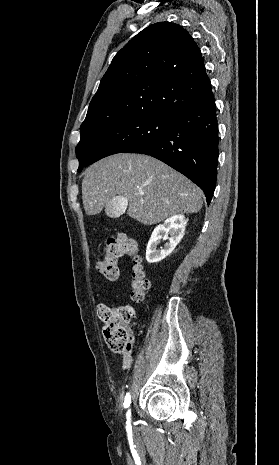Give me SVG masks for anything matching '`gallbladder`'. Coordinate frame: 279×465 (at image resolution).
<instances>
[{
  "instance_id": "bac80fb5",
  "label": "gallbladder",
  "mask_w": 279,
  "mask_h": 465,
  "mask_svg": "<svg viewBox=\"0 0 279 465\" xmlns=\"http://www.w3.org/2000/svg\"><path fill=\"white\" fill-rule=\"evenodd\" d=\"M127 207V201L124 197L116 196L108 201L105 213L110 218H118L124 214Z\"/></svg>"
}]
</instances>
